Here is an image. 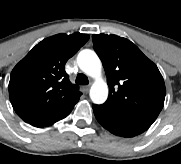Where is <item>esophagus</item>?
<instances>
[{
  "mask_svg": "<svg viewBox=\"0 0 181 164\" xmlns=\"http://www.w3.org/2000/svg\"><path fill=\"white\" fill-rule=\"evenodd\" d=\"M83 89L87 93L89 91V89H90V86L89 85H85V86H83Z\"/></svg>",
  "mask_w": 181,
  "mask_h": 164,
  "instance_id": "esophagus-1",
  "label": "esophagus"
}]
</instances>
